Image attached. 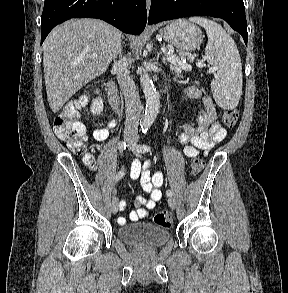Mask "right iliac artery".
<instances>
[{"mask_svg":"<svg viewBox=\"0 0 288 293\" xmlns=\"http://www.w3.org/2000/svg\"><path fill=\"white\" fill-rule=\"evenodd\" d=\"M118 147H119V149H121V150H125L126 149V143L125 142H123V141H121V142H119L118 143ZM124 176V171H119L117 174H116V176H115V182L117 183L122 177ZM115 190L113 191V193L115 194Z\"/></svg>","mask_w":288,"mask_h":293,"instance_id":"1","label":"right iliac artery"}]
</instances>
